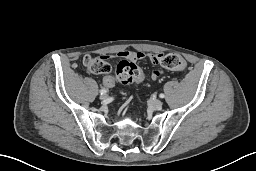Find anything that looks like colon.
Segmentation results:
<instances>
[{
	"instance_id": "5ec220e1",
	"label": "colon",
	"mask_w": 256,
	"mask_h": 171,
	"mask_svg": "<svg viewBox=\"0 0 256 171\" xmlns=\"http://www.w3.org/2000/svg\"><path fill=\"white\" fill-rule=\"evenodd\" d=\"M84 64L93 74H106L110 71V64L103 57H85ZM160 64L169 70H180L184 66V61L178 54L168 53L163 55ZM116 75L122 83L140 82L144 78L142 69L131 61L120 62Z\"/></svg>"
}]
</instances>
